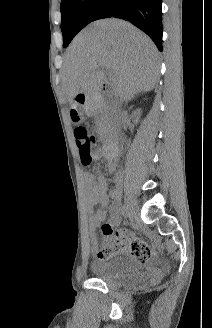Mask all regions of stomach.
<instances>
[{"mask_svg":"<svg viewBox=\"0 0 212 328\" xmlns=\"http://www.w3.org/2000/svg\"><path fill=\"white\" fill-rule=\"evenodd\" d=\"M69 119L73 120L74 124H81L82 123V118L80 117V114L76 112V110H71L69 114Z\"/></svg>","mask_w":212,"mask_h":328,"instance_id":"obj_1","label":"stomach"}]
</instances>
